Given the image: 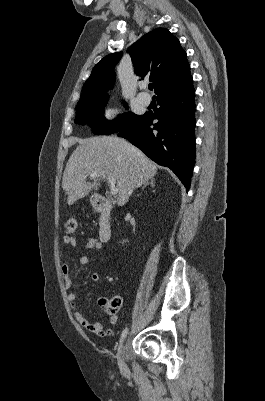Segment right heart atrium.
Returning <instances> with one entry per match:
<instances>
[{
	"label": "right heart atrium",
	"mask_w": 265,
	"mask_h": 401,
	"mask_svg": "<svg viewBox=\"0 0 265 401\" xmlns=\"http://www.w3.org/2000/svg\"><path fill=\"white\" fill-rule=\"evenodd\" d=\"M119 112H120V110H119V108L118 107H116V106H111V107H107L105 110H104V117L107 119V120H109V121H114V120H116L117 118H118V116H119Z\"/></svg>",
	"instance_id": "d8ad5b80"
}]
</instances>
